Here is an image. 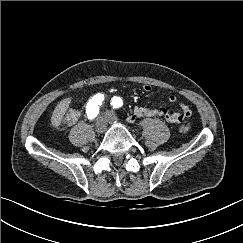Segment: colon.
<instances>
[{
	"instance_id": "colon-1",
	"label": "colon",
	"mask_w": 243,
	"mask_h": 243,
	"mask_svg": "<svg viewBox=\"0 0 243 243\" xmlns=\"http://www.w3.org/2000/svg\"><path fill=\"white\" fill-rule=\"evenodd\" d=\"M78 118H79V112L76 109H69L62 120V124L65 125L74 124L78 120ZM190 129H191V124L189 122H183L179 127V130L182 133H187L188 131H190Z\"/></svg>"
}]
</instances>
